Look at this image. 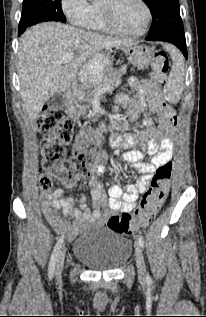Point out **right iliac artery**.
<instances>
[{
	"label": "right iliac artery",
	"mask_w": 206,
	"mask_h": 317,
	"mask_svg": "<svg viewBox=\"0 0 206 317\" xmlns=\"http://www.w3.org/2000/svg\"><path fill=\"white\" fill-rule=\"evenodd\" d=\"M63 242H64V238L61 237L58 240V242L56 243V245L54 247V250L52 252V255H51V258H50V262H49V267H48L49 279H52V277H53L54 270H55V263H56V260H57V257H58V254H59V251H60V248H61Z\"/></svg>",
	"instance_id": "1"
}]
</instances>
